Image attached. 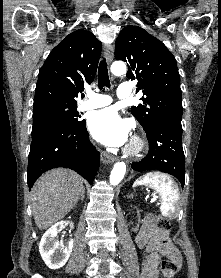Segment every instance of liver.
I'll use <instances>...</instances> for the list:
<instances>
[{"mask_svg":"<svg viewBox=\"0 0 221 278\" xmlns=\"http://www.w3.org/2000/svg\"><path fill=\"white\" fill-rule=\"evenodd\" d=\"M84 190L82 178L57 168L43 174L31 190V210L37 227L45 230L73 209Z\"/></svg>","mask_w":221,"mask_h":278,"instance_id":"obj_1","label":"liver"}]
</instances>
